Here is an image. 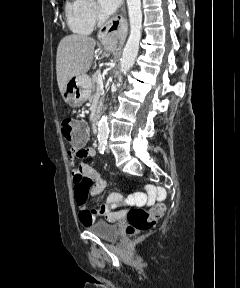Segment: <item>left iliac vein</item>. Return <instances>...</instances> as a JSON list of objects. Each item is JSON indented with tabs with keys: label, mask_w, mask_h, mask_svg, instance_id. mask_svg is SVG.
Listing matches in <instances>:
<instances>
[{
	"label": "left iliac vein",
	"mask_w": 240,
	"mask_h": 288,
	"mask_svg": "<svg viewBox=\"0 0 240 288\" xmlns=\"http://www.w3.org/2000/svg\"><path fill=\"white\" fill-rule=\"evenodd\" d=\"M106 152L109 153L110 152V147L107 145L106 146Z\"/></svg>",
	"instance_id": "obj_1"
}]
</instances>
